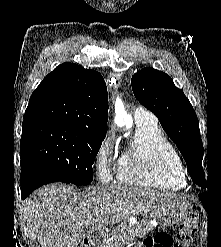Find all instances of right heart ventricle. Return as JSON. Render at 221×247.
Returning a JSON list of instances; mask_svg holds the SVG:
<instances>
[{
	"label": "right heart ventricle",
	"instance_id": "obj_1",
	"mask_svg": "<svg viewBox=\"0 0 221 247\" xmlns=\"http://www.w3.org/2000/svg\"><path fill=\"white\" fill-rule=\"evenodd\" d=\"M131 143L118 160L116 178L120 184L179 190L185 186L183 166L174 145L156 121L135 122Z\"/></svg>",
	"mask_w": 221,
	"mask_h": 247
}]
</instances>
